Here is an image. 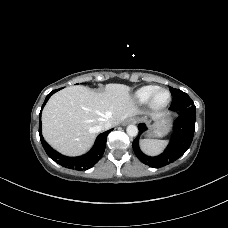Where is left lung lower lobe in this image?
I'll list each match as a JSON object with an SVG mask.
<instances>
[{
	"label": "left lung lower lobe",
	"mask_w": 228,
	"mask_h": 228,
	"mask_svg": "<svg viewBox=\"0 0 228 228\" xmlns=\"http://www.w3.org/2000/svg\"><path fill=\"white\" fill-rule=\"evenodd\" d=\"M170 109L178 112L179 117L174 122L170 143L161 155L156 157L145 155L139 148V137L132 143L137 158L153 168L163 167L180 158L190 147L193 140L196 107L193 105L191 98L188 95L183 98H173ZM138 129L140 135L147 130L145 124H139Z\"/></svg>",
	"instance_id": "1"
}]
</instances>
